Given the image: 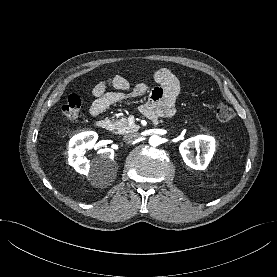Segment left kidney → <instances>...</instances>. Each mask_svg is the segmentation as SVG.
Returning a JSON list of instances; mask_svg holds the SVG:
<instances>
[{
    "mask_svg": "<svg viewBox=\"0 0 277 277\" xmlns=\"http://www.w3.org/2000/svg\"><path fill=\"white\" fill-rule=\"evenodd\" d=\"M193 148H196L197 152H200L201 149V155L197 154L194 157V153L191 150ZM179 151L186 165L196 170H204L213 157L215 140L211 136L198 135L182 142L179 146Z\"/></svg>",
    "mask_w": 277,
    "mask_h": 277,
    "instance_id": "5707ae66",
    "label": "left kidney"
}]
</instances>
